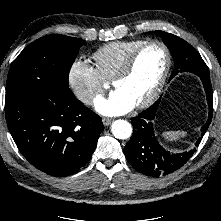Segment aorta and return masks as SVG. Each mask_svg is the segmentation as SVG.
Returning <instances> with one entry per match:
<instances>
[{"instance_id":"1","label":"aorta","mask_w":221,"mask_h":221,"mask_svg":"<svg viewBox=\"0 0 221 221\" xmlns=\"http://www.w3.org/2000/svg\"><path fill=\"white\" fill-rule=\"evenodd\" d=\"M111 132L118 139H127L132 134V126L126 120H116L112 123Z\"/></svg>"}]
</instances>
